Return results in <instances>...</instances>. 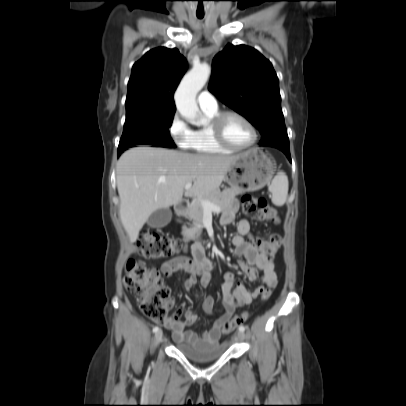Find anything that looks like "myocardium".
Returning <instances> with one entry per match:
<instances>
[{
	"label": "myocardium",
	"instance_id": "f54148a6",
	"mask_svg": "<svg viewBox=\"0 0 406 406\" xmlns=\"http://www.w3.org/2000/svg\"><path fill=\"white\" fill-rule=\"evenodd\" d=\"M229 116H235V117L239 118L250 128L253 138H252V141L248 145L242 146V147L235 146V145H232L231 143H229L227 141V139L225 138L223 127H224V122H225L226 118ZM210 126H211V130H212V133H213V136H214V139L216 140V142L219 145H221L222 147L232 150V151L248 150V149L252 148L253 146H255L258 141V132H257L255 125L245 115H243L242 113L235 111V110H226V111L219 112L211 120Z\"/></svg>",
	"mask_w": 406,
	"mask_h": 406
}]
</instances>
